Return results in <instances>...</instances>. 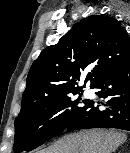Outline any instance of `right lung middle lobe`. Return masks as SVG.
Masks as SVG:
<instances>
[{
    "label": "right lung middle lobe",
    "instance_id": "right-lung-middle-lobe-1",
    "mask_svg": "<svg viewBox=\"0 0 130 153\" xmlns=\"http://www.w3.org/2000/svg\"><path fill=\"white\" fill-rule=\"evenodd\" d=\"M78 92L40 104L19 115L14 123V151H31L55 135L64 131L78 116L90 100H76L72 95ZM84 103L85 106H79Z\"/></svg>",
    "mask_w": 130,
    "mask_h": 153
}]
</instances>
